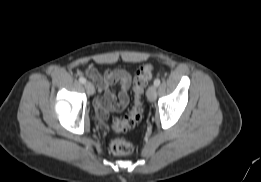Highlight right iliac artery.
Returning a JSON list of instances; mask_svg holds the SVG:
<instances>
[{"mask_svg": "<svg viewBox=\"0 0 261 182\" xmlns=\"http://www.w3.org/2000/svg\"><path fill=\"white\" fill-rule=\"evenodd\" d=\"M79 82L84 84V83H86V79L84 77H80L79 78Z\"/></svg>", "mask_w": 261, "mask_h": 182, "instance_id": "1", "label": "right iliac artery"}]
</instances>
